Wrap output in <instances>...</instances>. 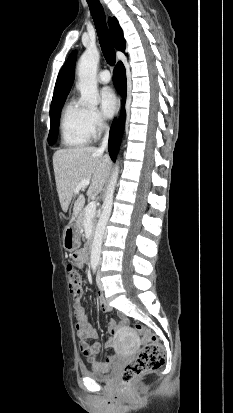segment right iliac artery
Returning <instances> with one entry per match:
<instances>
[{
	"label": "right iliac artery",
	"instance_id": "82829eb1",
	"mask_svg": "<svg viewBox=\"0 0 233 413\" xmlns=\"http://www.w3.org/2000/svg\"><path fill=\"white\" fill-rule=\"evenodd\" d=\"M92 268H93V271L95 272L96 271V265H93Z\"/></svg>",
	"mask_w": 233,
	"mask_h": 413
}]
</instances>
